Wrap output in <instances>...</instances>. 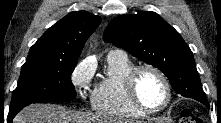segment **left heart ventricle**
<instances>
[{
  "instance_id": "obj_1",
  "label": "left heart ventricle",
  "mask_w": 221,
  "mask_h": 123,
  "mask_svg": "<svg viewBox=\"0 0 221 123\" xmlns=\"http://www.w3.org/2000/svg\"><path fill=\"white\" fill-rule=\"evenodd\" d=\"M137 92L143 104L150 108L159 107L166 98L162 80L152 71H144L140 74L137 81Z\"/></svg>"
}]
</instances>
